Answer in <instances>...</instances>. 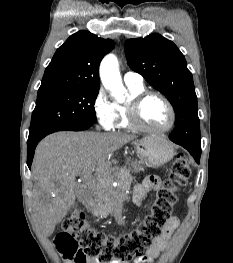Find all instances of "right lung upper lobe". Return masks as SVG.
<instances>
[{
  "label": "right lung upper lobe",
  "mask_w": 233,
  "mask_h": 263,
  "mask_svg": "<svg viewBox=\"0 0 233 263\" xmlns=\"http://www.w3.org/2000/svg\"><path fill=\"white\" fill-rule=\"evenodd\" d=\"M113 48L112 40L99 38L88 31L73 34L54 54L38 95L74 88L99 89L100 62Z\"/></svg>",
  "instance_id": "cb5924a9"
}]
</instances>
